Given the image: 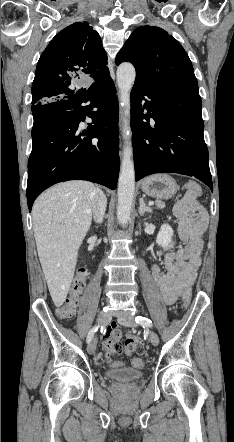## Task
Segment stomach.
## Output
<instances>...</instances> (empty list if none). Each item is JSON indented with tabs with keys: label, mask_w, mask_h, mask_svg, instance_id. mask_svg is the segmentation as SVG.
Returning a JSON list of instances; mask_svg holds the SVG:
<instances>
[{
	"label": "stomach",
	"mask_w": 234,
	"mask_h": 442,
	"mask_svg": "<svg viewBox=\"0 0 234 442\" xmlns=\"http://www.w3.org/2000/svg\"><path fill=\"white\" fill-rule=\"evenodd\" d=\"M141 189L151 197L168 200L176 194L178 185L168 174H155L142 181Z\"/></svg>",
	"instance_id": "stomach-1"
}]
</instances>
